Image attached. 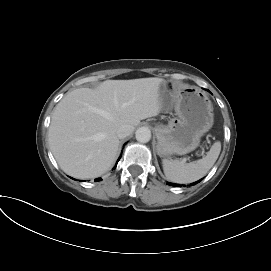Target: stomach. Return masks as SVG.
Here are the masks:
<instances>
[{"label":"stomach","instance_id":"stomach-1","mask_svg":"<svg viewBox=\"0 0 271 271\" xmlns=\"http://www.w3.org/2000/svg\"><path fill=\"white\" fill-rule=\"evenodd\" d=\"M159 102L163 111L174 108L177 118L171 119L168 125L155 126L157 153L168 157L196 149L214 123L207 94L194 86H176L165 81L159 88Z\"/></svg>","mask_w":271,"mask_h":271}]
</instances>
